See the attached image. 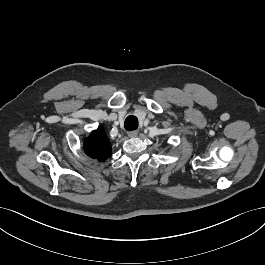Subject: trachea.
<instances>
[{
    "label": "trachea",
    "instance_id": "obj_1",
    "mask_svg": "<svg viewBox=\"0 0 265 265\" xmlns=\"http://www.w3.org/2000/svg\"><path fill=\"white\" fill-rule=\"evenodd\" d=\"M124 127L128 131H133L138 128V119L135 116H128L125 120Z\"/></svg>",
    "mask_w": 265,
    "mask_h": 265
}]
</instances>
